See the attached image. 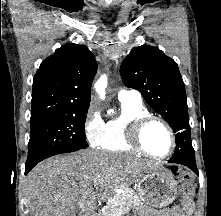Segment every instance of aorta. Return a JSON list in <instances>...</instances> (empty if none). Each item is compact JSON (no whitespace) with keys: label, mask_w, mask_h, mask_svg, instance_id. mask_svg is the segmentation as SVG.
Wrapping results in <instances>:
<instances>
[{"label":"aorta","mask_w":221,"mask_h":216,"mask_svg":"<svg viewBox=\"0 0 221 216\" xmlns=\"http://www.w3.org/2000/svg\"><path fill=\"white\" fill-rule=\"evenodd\" d=\"M107 86V77L105 75L101 76V78L95 83V89L97 93L100 95V98H105V88Z\"/></svg>","instance_id":"762f6f07"}]
</instances>
